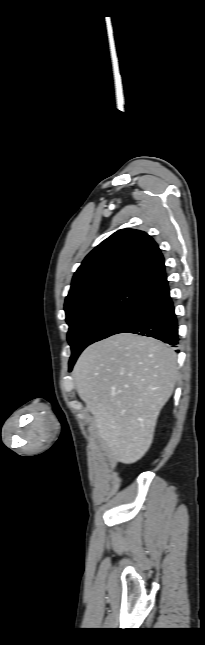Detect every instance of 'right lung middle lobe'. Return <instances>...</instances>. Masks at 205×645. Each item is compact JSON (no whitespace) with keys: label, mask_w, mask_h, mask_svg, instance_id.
<instances>
[{"label":"right lung middle lobe","mask_w":205,"mask_h":645,"mask_svg":"<svg viewBox=\"0 0 205 645\" xmlns=\"http://www.w3.org/2000/svg\"><path fill=\"white\" fill-rule=\"evenodd\" d=\"M147 294V289L125 285L65 307L69 325L70 368L82 350L102 337L128 315Z\"/></svg>","instance_id":"obj_1"}]
</instances>
